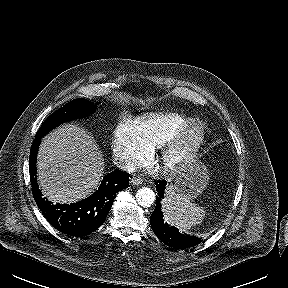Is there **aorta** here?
<instances>
[{
    "mask_svg": "<svg viewBox=\"0 0 288 288\" xmlns=\"http://www.w3.org/2000/svg\"><path fill=\"white\" fill-rule=\"evenodd\" d=\"M136 200L140 206L149 207L155 201V193L148 187H142L136 193Z\"/></svg>",
    "mask_w": 288,
    "mask_h": 288,
    "instance_id": "obj_1",
    "label": "aorta"
}]
</instances>
